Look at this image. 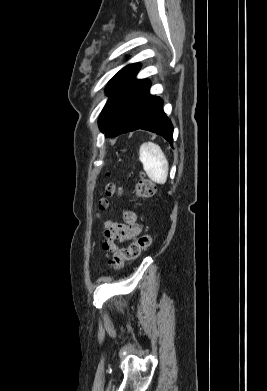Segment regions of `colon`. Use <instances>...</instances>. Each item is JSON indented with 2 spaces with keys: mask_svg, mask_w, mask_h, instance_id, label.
<instances>
[{
  "mask_svg": "<svg viewBox=\"0 0 267 391\" xmlns=\"http://www.w3.org/2000/svg\"><path fill=\"white\" fill-rule=\"evenodd\" d=\"M155 184L148 178L140 176L137 179L134 196L138 198H148L155 193ZM105 197L98 202L100 210H104L108 206V199L112 196L127 197L128 192L116 186L115 184H108L106 187ZM151 238L144 234L139 236L136 240L131 242L127 247L117 250L110 262L115 269H121L127 261L135 260L140 256L142 251L150 246Z\"/></svg>",
  "mask_w": 267,
  "mask_h": 391,
  "instance_id": "1",
  "label": "colon"
}]
</instances>
